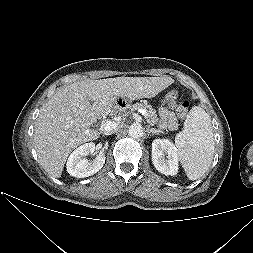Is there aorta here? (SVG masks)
Listing matches in <instances>:
<instances>
[{"label": "aorta", "instance_id": "762f6f07", "mask_svg": "<svg viewBox=\"0 0 253 253\" xmlns=\"http://www.w3.org/2000/svg\"><path fill=\"white\" fill-rule=\"evenodd\" d=\"M128 134H129L130 137H132L134 139L141 138L144 134L143 127L140 124H132L129 127Z\"/></svg>", "mask_w": 253, "mask_h": 253}]
</instances>
